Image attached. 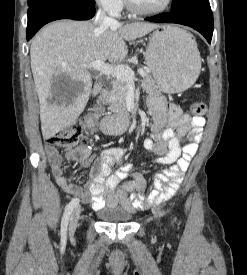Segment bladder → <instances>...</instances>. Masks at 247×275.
<instances>
[{
    "instance_id": "obj_1",
    "label": "bladder",
    "mask_w": 247,
    "mask_h": 275,
    "mask_svg": "<svg viewBox=\"0 0 247 275\" xmlns=\"http://www.w3.org/2000/svg\"><path fill=\"white\" fill-rule=\"evenodd\" d=\"M102 222L108 224H126L131 221L133 213L123 208L106 207L96 210Z\"/></svg>"
}]
</instances>
